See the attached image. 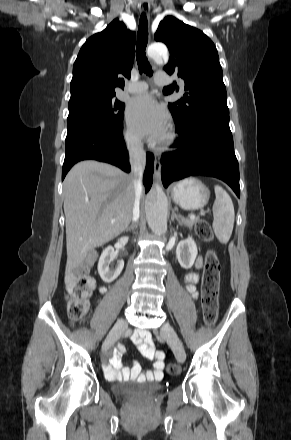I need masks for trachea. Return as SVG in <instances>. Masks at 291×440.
Here are the masks:
<instances>
[{"instance_id":"3493384b","label":"trachea","mask_w":291,"mask_h":440,"mask_svg":"<svg viewBox=\"0 0 291 440\" xmlns=\"http://www.w3.org/2000/svg\"><path fill=\"white\" fill-rule=\"evenodd\" d=\"M148 42V23L145 14H142L139 21L137 45H136V59L140 73H145L148 76L153 75V71L146 57V46Z\"/></svg>"}]
</instances>
